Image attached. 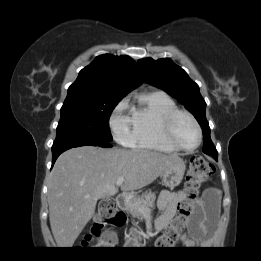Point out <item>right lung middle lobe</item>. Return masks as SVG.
<instances>
[{
	"instance_id": "dd1d6c3e",
	"label": "right lung middle lobe",
	"mask_w": 261,
	"mask_h": 261,
	"mask_svg": "<svg viewBox=\"0 0 261 261\" xmlns=\"http://www.w3.org/2000/svg\"><path fill=\"white\" fill-rule=\"evenodd\" d=\"M123 97H71L61 108V119L54 143L79 138L112 141L109 117Z\"/></svg>"
}]
</instances>
